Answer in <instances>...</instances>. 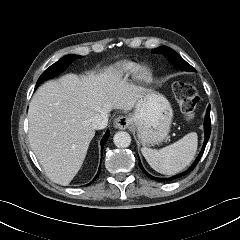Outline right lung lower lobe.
<instances>
[{
  "label": "right lung lower lobe",
  "instance_id": "right-lung-lower-lobe-1",
  "mask_svg": "<svg viewBox=\"0 0 240 240\" xmlns=\"http://www.w3.org/2000/svg\"><path fill=\"white\" fill-rule=\"evenodd\" d=\"M108 137H109V131L106 132V134L104 135V137H103V139L101 141V151L103 150L104 144L106 143ZM100 170H101V168L99 167L98 173H97L96 177L93 179V181L98 177V175L100 173Z\"/></svg>",
  "mask_w": 240,
  "mask_h": 240
}]
</instances>
